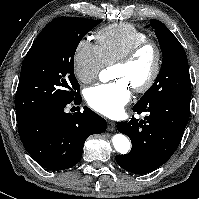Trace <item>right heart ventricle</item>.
Returning a JSON list of instances; mask_svg holds the SVG:
<instances>
[{
  "mask_svg": "<svg viewBox=\"0 0 199 199\" xmlns=\"http://www.w3.org/2000/svg\"><path fill=\"white\" fill-rule=\"evenodd\" d=\"M147 34L130 23H116L96 34L98 47L106 65L113 64L132 46L147 40Z\"/></svg>",
  "mask_w": 199,
  "mask_h": 199,
  "instance_id": "1",
  "label": "right heart ventricle"
}]
</instances>
